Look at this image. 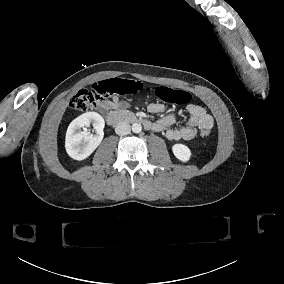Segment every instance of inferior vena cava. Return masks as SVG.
Returning a JSON list of instances; mask_svg holds the SVG:
<instances>
[{"instance_id": "inferior-vena-cava-1", "label": "inferior vena cava", "mask_w": 284, "mask_h": 284, "mask_svg": "<svg viewBox=\"0 0 284 284\" xmlns=\"http://www.w3.org/2000/svg\"><path fill=\"white\" fill-rule=\"evenodd\" d=\"M130 131H131V127H130V124L127 122H121L117 124L115 127V132L118 135H127L130 133Z\"/></svg>"}]
</instances>
